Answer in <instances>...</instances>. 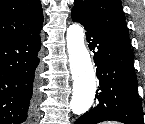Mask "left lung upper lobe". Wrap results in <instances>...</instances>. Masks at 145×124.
Listing matches in <instances>:
<instances>
[{
	"label": "left lung upper lobe",
	"mask_w": 145,
	"mask_h": 124,
	"mask_svg": "<svg viewBox=\"0 0 145 124\" xmlns=\"http://www.w3.org/2000/svg\"><path fill=\"white\" fill-rule=\"evenodd\" d=\"M72 12L95 28L130 47L120 0H75Z\"/></svg>",
	"instance_id": "left-lung-upper-lobe-1"
}]
</instances>
